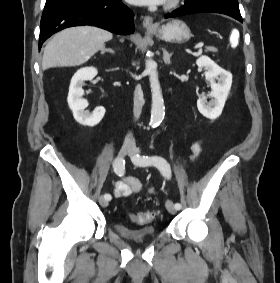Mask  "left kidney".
I'll list each match as a JSON object with an SVG mask.
<instances>
[{
    "mask_svg": "<svg viewBox=\"0 0 280 283\" xmlns=\"http://www.w3.org/2000/svg\"><path fill=\"white\" fill-rule=\"evenodd\" d=\"M196 64L205 69L206 80L212 89L209 95L212 100L207 102V97H200L197 100V108L204 117L213 120L218 118L223 111L232 85V74L219 67L207 56H201L197 59Z\"/></svg>",
    "mask_w": 280,
    "mask_h": 283,
    "instance_id": "left-kidney-1",
    "label": "left kidney"
}]
</instances>
